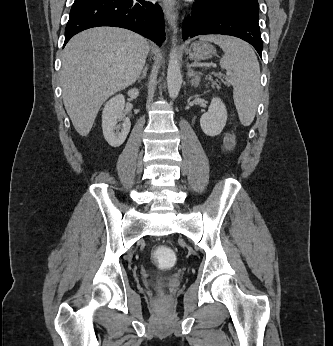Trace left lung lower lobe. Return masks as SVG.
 <instances>
[{"label": "left lung lower lobe", "mask_w": 333, "mask_h": 346, "mask_svg": "<svg viewBox=\"0 0 333 346\" xmlns=\"http://www.w3.org/2000/svg\"><path fill=\"white\" fill-rule=\"evenodd\" d=\"M204 34H222L250 43L261 57L263 44L257 19L235 12L214 0H195L191 16L183 23V39Z\"/></svg>", "instance_id": "1"}]
</instances>
